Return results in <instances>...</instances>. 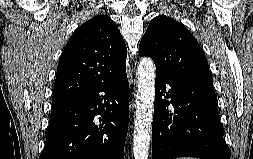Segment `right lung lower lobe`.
Returning <instances> with one entry per match:
<instances>
[{"label":"right lung lower lobe","mask_w":253,"mask_h":159,"mask_svg":"<svg viewBox=\"0 0 253 159\" xmlns=\"http://www.w3.org/2000/svg\"><path fill=\"white\" fill-rule=\"evenodd\" d=\"M128 116L124 70L51 112L39 159H123Z\"/></svg>","instance_id":"98d812e1"}]
</instances>
